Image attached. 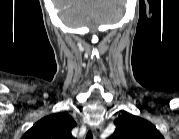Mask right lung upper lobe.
<instances>
[{
	"mask_svg": "<svg viewBox=\"0 0 179 139\" xmlns=\"http://www.w3.org/2000/svg\"><path fill=\"white\" fill-rule=\"evenodd\" d=\"M76 126L66 113L46 116L36 122L23 136L24 139H72L71 129Z\"/></svg>",
	"mask_w": 179,
	"mask_h": 139,
	"instance_id": "cb5924a9",
	"label": "right lung upper lobe"
}]
</instances>
